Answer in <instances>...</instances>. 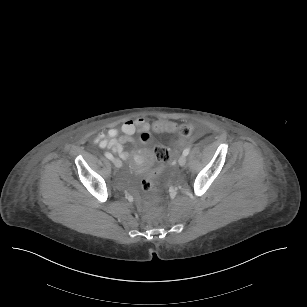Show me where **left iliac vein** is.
Listing matches in <instances>:
<instances>
[{
  "mask_svg": "<svg viewBox=\"0 0 307 307\" xmlns=\"http://www.w3.org/2000/svg\"><path fill=\"white\" fill-rule=\"evenodd\" d=\"M186 161H187L186 156L182 155V156H180L179 159H178V164H179L180 166H184V165L186 164Z\"/></svg>",
  "mask_w": 307,
  "mask_h": 307,
  "instance_id": "left-iliac-vein-1",
  "label": "left iliac vein"
}]
</instances>
